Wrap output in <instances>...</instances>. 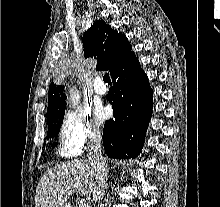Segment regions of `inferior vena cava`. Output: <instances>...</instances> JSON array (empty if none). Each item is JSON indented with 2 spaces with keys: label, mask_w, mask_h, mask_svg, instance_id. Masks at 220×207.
Listing matches in <instances>:
<instances>
[{
  "label": "inferior vena cava",
  "mask_w": 220,
  "mask_h": 207,
  "mask_svg": "<svg viewBox=\"0 0 220 207\" xmlns=\"http://www.w3.org/2000/svg\"><path fill=\"white\" fill-rule=\"evenodd\" d=\"M101 135L99 133H92L90 138V145L88 147L87 160L95 167L98 173V180L93 191V196L97 202V207H103V196L107 189L108 168L106 159L101 152Z\"/></svg>",
  "instance_id": "inferior-vena-cava-1"
}]
</instances>
